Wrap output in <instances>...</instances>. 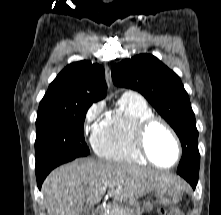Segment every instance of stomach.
<instances>
[{"label": "stomach", "instance_id": "0dacf381", "mask_svg": "<svg viewBox=\"0 0 221 215\" xmlns=\"http://www.w3.org/2000/svg\"><path fill=\"white\" fill-rule=\"evenodd\" d=\"M181 190L167 187L153 190L151 198L144 202L142 210L137 203L128 204L125 209L130 215H140L143 210L152 211L154 206H172L181 200Z\"/></svg>", "mask_w": 221, "mask_h": 215}]
</instances>
